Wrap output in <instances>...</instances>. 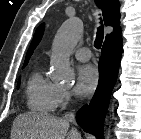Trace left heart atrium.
<instances>
[{
	"mask_svg": "<svg viewBox=\"0 0 141 139\" xmlns=\"http://www.w3.org/2000/svg\"><path fill=\"white\" fill-rule=\"evenodd\" d=\"M99 80V73L91 64L82 65L77 69L76 83L74 90L82 97L89 96L96 88Z\"/></svg>",
	"mask_w": 141,
	"mask_h": 139,
	"instance_id": "1",
	"label": "left heart atrium"
}]
</instances>
